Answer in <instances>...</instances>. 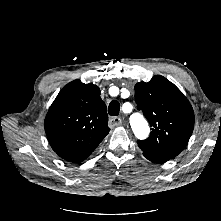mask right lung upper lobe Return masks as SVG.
I'll use <instances>...</instances> for the list:
<instances>
[{"instance_id": "right-lung-upper-lobe-1", "label": "right lung upper lobe", "mask_w": 221, "mask_h": 221, "mask_svg": "<svg viewBox=\"0 0 221 221\" xmlns=\"http://www.w3.org/2000/svg\"><path fill=\"white\" fill-rule=\"evenodd\" d=\"M44 127L51 147L61 158L84 161L109 133L99 87L80 80L67 84L52 103Z\"/></svg>"}]
</instances>
